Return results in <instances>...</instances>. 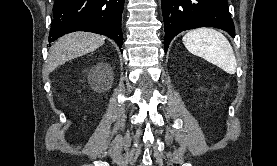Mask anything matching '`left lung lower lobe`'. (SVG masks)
<instances>
[{
    "instance_id": "0a47b994",
    "label": "left lung lower lobe",
    "mask_w": 277,
    "mask_h": 166,
    "mask_svg": "<svg viewBox=\"0 0 277 166\" xmlns=\"http://www.w3.org/2000/svg\"><path fill=\"white\" fill-rule=\"evenodd\" d=\"M165 29V51L180 32L215 27L235 36L227 0H161Z\"/></svg>"
}]
</instances>
